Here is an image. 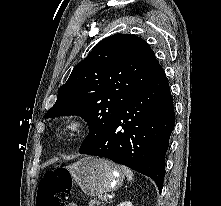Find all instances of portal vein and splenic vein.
Masks as SVG:
<instances>
[{"label":"portal vein and splenic vein","instance_id":"obj_1","mask_svg":"<svg viewBox=\"0 0 221 206\" xmlns=\"http://www.w3.org/2000/svg\"><path fill=\"white\" fill-rule=\"evenodd\" d=\"M107 198H108V195H105V196H104V199L106 200Z\"/></svg>","mask_w":221,"mask_h":206}]
</instances>
